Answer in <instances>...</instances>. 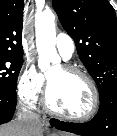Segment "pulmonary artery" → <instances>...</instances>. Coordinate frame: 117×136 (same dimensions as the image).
Masks as SVG:
<instances>
[{
  "mask_svg": "<svg viewBox=\"0 0 117 136\" xmlns=\"http://www.w3.org/2000/svg\"><path fill=\"white\" fill-rule=\"evenodd\" d=\"M56 48L60 55L65 60H68L72 57L75 50L74 41L69 35L61 33L56 38Z\"/></svg>",
  "mask_w": 117,
  "mask_h": 136,
  "instance_id": "1",
  "label": "pulmonary artery"
}]
</instances>
